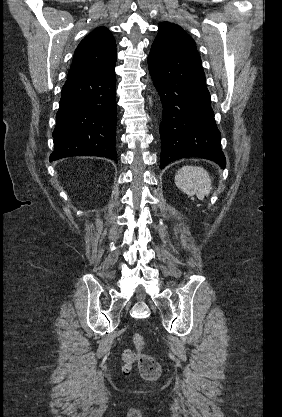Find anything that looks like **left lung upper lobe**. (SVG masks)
<instances>
[{
	"label": "left lung upper lobe",
	"instance_id": "1",
	"mask_svg": "<svg viewBox=\"0 0 282 417\" xmlns=\"http://www.w3.org/2000/svg\"><path fill=\"white\" fill-rule=\"evenodd\" d=\"M158 35L154 40V45L158 46H177L186 49L196 50V44L191 36L177 24L162 22L158 27Z\"/></svg>",
	"mask_w": 282,
	"mask_h": 417
}]
</instances>
